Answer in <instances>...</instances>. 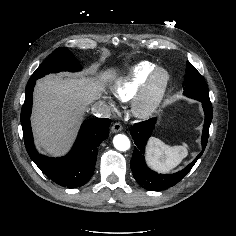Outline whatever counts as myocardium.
I'll list each match as a JSON object with an SVG mask.
<instances>
[{"instance_id": "myocardium-1", "label": "myocardium", "mask_w": 236, "mask_h": 236, "mask_svg": "<svg viewBox=\"0 0 236 236\" xmlns=\"http://www.w3.org/2000/svg\"><path fill=\"white\" fill-rule=\"evenodd\" d=\"M169 82L170 74L166 69H154L133 99V114L137 118L146 119L155 113L163 101Z\"/></svg>"}]
</instances>
